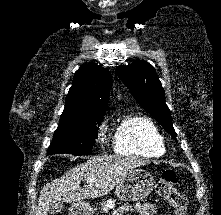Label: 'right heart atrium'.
<instances>
[{
  "label": "right heart atrium",
  "mask_w": 221,
  "mask_h": 215,
  "mask_svg": "<svg viewBox=\"0 0 221 215\" xmlns=\"http://www.w3.org/2000/svg\"><path fill=\"white\" fill-rule=\"evenodd\" d=\"M105 124H102L100 127V131H99V137L102 140V142L106 141V136H105Z\"/></svg>",
  "instance_id": "obj_1"
}]
</instances>
